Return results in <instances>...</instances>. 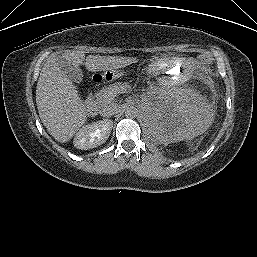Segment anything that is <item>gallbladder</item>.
I'll return each mask as SVG.
<instances>
[{
  "instance_id": "1",
  "label": "gallbladder",
  "mask_w": 257,
  "mask_h": 257,
  "mask_svg": "<svg viewBox=\"0 0 257 257\" xmlns=\"http://www.w3.org/2000/svg\"><path fill=\"white\" fill-rule=\"evenodd\" d=\"M61 70L64 72L65 76L75 83H80L83 79L82 70L72 64H69L62 55L57 56Z\"/></svg>"
}]
</instances>
